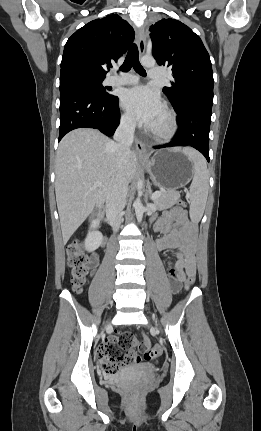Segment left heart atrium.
Returning a JSON list of instances; mask_svg holds the SVG:
<instances>
[{"mask_svg":"<svg viewBox=\"0 0 261 431\" xmlns=\"http://www.w3.org/2000/svg\"><path fill=\"white\" fill-rule=\"evenodd\" d=\"M122 106L138 122L152 128L164 112V104L157 92L147 86L127 89Z\"/></svg>","mask_w":261,"mask_h":431,"instance_id":"1","label":"left heart atrium"}]
</instances>
